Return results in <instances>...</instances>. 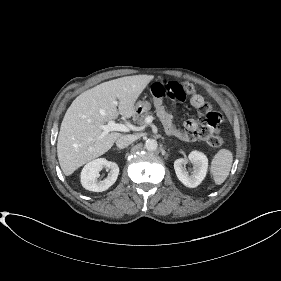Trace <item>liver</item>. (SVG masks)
<instances>
[{
	"label": "liver",
	"instance_id": "liver-1",
	"mask_svg": "<svg viewBox=\"0 0 281 281\" xmlns=\"http://www.w3.org/2000/svg\"><path fill=\"white\" fill-rule=\"evenodd\" d=\"M152 79L151 75H134L110 80L81 93L72 102L57 141L59 164L66 176L113 146L121 134L111 132L101 137L100 125L119 114L125 118L135 115L134 104Z\"/></svg>",
	"mask_w": 281,
	"mask_h": 281
}]
</instances>
